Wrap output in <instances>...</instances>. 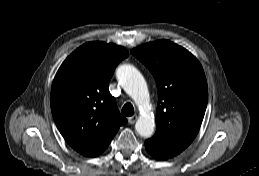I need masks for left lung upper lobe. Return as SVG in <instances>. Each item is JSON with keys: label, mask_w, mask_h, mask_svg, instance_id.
I'll return each instance as SVG.
<instances>
[{"label": "left lung upper lobe", "mask_w": 259, "mask_h": 176, "mask_svg": "<svg viewBox=\"0 0 259 176\" xmlns=\"http://www.w3.org/2000/svg\"><path fill=\"white\" fill-rule=\"evenodd\" d=\"M131 53L153 74L158 89L156 133L145 141L148 153L166 160L196 137L207 106L208 87L199 61L168 40L143 44Z\"/></svg>", "instance_id": "left-lung-upper-lobe-1"}]
</instances>
